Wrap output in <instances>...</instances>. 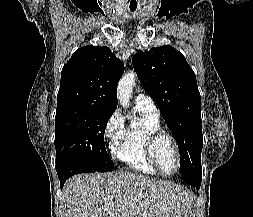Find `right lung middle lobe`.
Returning a JSON list of instances; mask_svg holds the SVG:
<instances>
[{
	"instance_id": "obj_1",
	"label": "right lung middle lobe",
	"mask_w": 253,
	"mask_h": 217,
	"mask_svg": "<svg viewBox=\"0 0 253 217\" xmlns=\"http://www.w3.org/2000/svg\"><path fill=\"white\" fill-rule=\"evenodd\" d=\"M112 113L80 105L57 107L56 162L76 158L84 161L90 172L112 171L114 165L104 143L105 128Z\"/></svg>"
}]
</instances>
